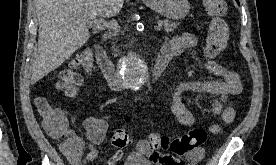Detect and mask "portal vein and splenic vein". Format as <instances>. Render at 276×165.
I'll list each match as a JSON object with an SVG mask.
<instances>
[{
    "label": "portal vein and splenic vein",
    "instance_id": "portal-vein-and-splenic-vein-1",
    "mask_svg": "<svg viewBox=\"0 0 276 165\" xmlns=\"http://www.w3.org/2000/svg\"><path fill=\"white\" fill-rule=\"evenodd\" d=\"M89 26H92L96 29L104 30L106 28H115L117 25L113 23H108L104 19H93L88 23ZM163 22H158V25L154 27L155 30H161Z\"/></svg>",
    "mask_w": 276,
    "mask_h": 165
}]
</instances>
